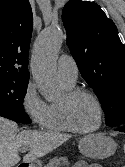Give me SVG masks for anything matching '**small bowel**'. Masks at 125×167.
<instances>
[{
  "instance_id": "c3829d8e",
  "label": "small bowel",
  "mask_w": 125,
  "mask_h": 167,
  "mask_svg": "<svg viewBox=\"0 0 125 167\" xmlns=\"http://www.w3.org/2000/svg\"><path fill=\"white\" fill-rule=\"evenodd\" d=\"M72 167H102V166L99 164H87L86 162L81 161V162L76 163Z\"/></svg>"
}]
</instances>
